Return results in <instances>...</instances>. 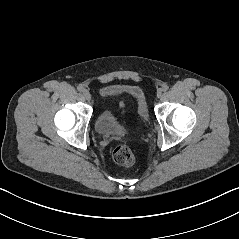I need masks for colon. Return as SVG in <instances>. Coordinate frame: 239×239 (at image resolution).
Masks as SVG:
<instances>
[{
  "mask_svg": "<svg viewBox=\"0 0 239 239\" xmlns=\"http://www.w3.org/2000/svg\"><path fill=\"white\" fill-rule=\"evenodd\" d=\"M122 113L125 112V105L121 104ZM113 160L121 166H132L135 163L133 151L126 145H118L112 151Z\"/></svg>",
  "mask_w": 239,
  "mask_h": 239,
  "instance_id": "colon-1",
  "label": "colon"
}]
</instances>
